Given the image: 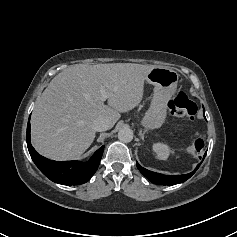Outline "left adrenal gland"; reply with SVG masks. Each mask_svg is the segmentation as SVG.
<instances>
[{"label":"left adrenal gland","mask_w":237,"mask_h":237,"mask_svg":"<svg viewBox=\"0 0 237 237\" xmlns=\"http://www.w3.org/2000/svg\"><path fill=\"white\" fill-rule=\"evenodd\" d=\"M144 135H145V131L144 132L140 131V136H141L142 140H144Z\"/></svg>","instance_id":"obj_1"}]
</instances>
